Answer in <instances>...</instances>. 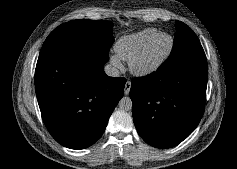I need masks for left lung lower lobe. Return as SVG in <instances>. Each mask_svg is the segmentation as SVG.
<instances>
[{
    "instance_id": "1",
    "label": "left lung lower lobe",
    "mask_w": 237,
    "mask_h": 169,
    "mask_svg": "<svg viewBox=\"0 0 237 169\" xmlns=\"http://www.w3.org/2000/svg\"><path fill=\"white\" fill-rule=\"evenodd\" d=\"M207 60L196 58L132 79L130 97L139 135L156 148H171L187 138L204 112Z\"/></svg>"
}]
</instances>
